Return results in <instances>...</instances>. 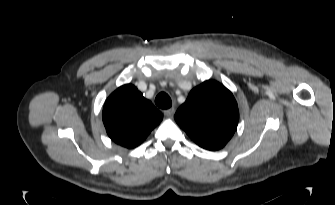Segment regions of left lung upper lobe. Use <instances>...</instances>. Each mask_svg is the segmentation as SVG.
I'll return each mask as SVG.
<instances>
[{
	"label": "left lung upper lobe",
	"mask_w": 335,
	"mask_h": 205,
	"mask_svg": "<svg viewBox=\"0 0 335 205\" xmlns=\"http://www.w3.org/2000/svg\"><path fill=\"white\" fill-rule=\"evenodd\" d=\"M174 118L196 144L215 151L233 136L239 113L232 93L222 84L208 80L191 90Z\"/></svg>",
	"instance_id": "5c2ea615"
}]
</instances>
